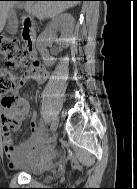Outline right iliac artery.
Here are the masks:
<instances>
[{
    "label": "right iliac artery",
    "mask_w": 137,
    "mask_h": 189,
    "mask_svg": "<svg viewBox=\"0 0 137 189\" xmlns=\"http://www.w3.org/2000/svg\"><path fill=\"white\" fill-rule=\"evenodd\" d=\"M49 128H50V122H47L46 130H49ZM39 139H42V136H39Z\"/></svg>",
    "instance_id": "obj_1"
}]
</instances>
